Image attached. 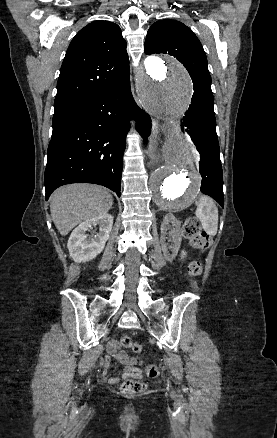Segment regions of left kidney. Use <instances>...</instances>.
Instances as JSON below:
<instances>
[{"label": "left kidney", "instance_id": "1", "mask_svg": "<svg viewBox=\"0 0 277 438\" xmlns=\"http://www.w3.org/2000/svg\"><path fill=\"white\" fill-rule=\"evenodd\" d=\"M169 224H172V226H175V230H172V232H169V236H172V242H173V246H169V248H167L166 244H165V236H167V228L169 226ZM180 224L181 222H179V220H176L175 216H173V214H166V216H164L163 218V222L161 224V238H160V242H161V246H162V252H163V256L166 260V262H173V260H175L179 250H180V246H181V242H182V238L180 236ZM167 250H170L171 254H169V252H167Z\"/></svg>", "mask_w": 277, "mask_h": 438}]
</instances>
